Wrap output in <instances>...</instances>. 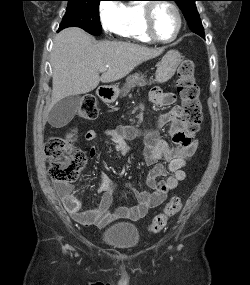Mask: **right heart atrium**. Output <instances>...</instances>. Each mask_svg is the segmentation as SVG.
Masks as SVG:
<instances>
[{
  "label": "right heart atrium",
  "mask_w": 250,
  "mask_h": 285,
  "mask_svg": "<svg viewBox=\"0 0 250 285\" xmlns=\"http://www.w3.org/2000/svg\"><path fill=\"white\" fill-rule=\"evenodd\" d=\"M124 5L118 0H106L100 3L99 16L103 29L118 34L123 21Z\"/></svg>",
  "instance_id": "d8ad5b80"
}]
</instances>
